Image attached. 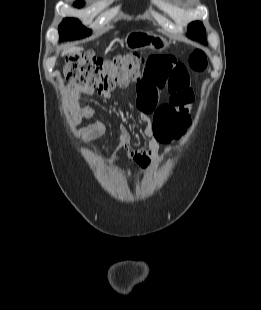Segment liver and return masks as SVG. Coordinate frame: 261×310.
<instances>
[{
  "label": "liver",
  "instance_id": "1",
  "mask_svg": "<svg viewBox=\"0 0 261 310\" xmlns=\"http://www.w3.org/2000/svg\"><path fill=\"white\" fill-rule=\"evenodd\" d=\"M83 50V48H81V47H75V46H73V47H70V48H67L66 50H64L63 52H62V55H65V54H74V53H78V52H80V51H82Z\"/></svg>",
  "mask_w": 261,
  "mask_h": 310
}]
</instances>
